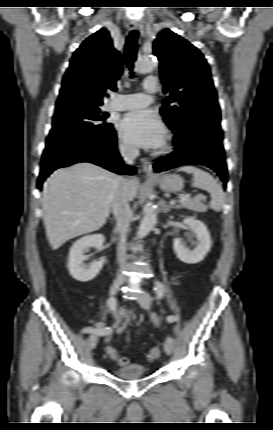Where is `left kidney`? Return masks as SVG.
Returning <instances> with one entry per match:
<instances>
[{
  "mask_svg": "<svg viewBox=\"0 0 273 430\" xmlns=\"http://www.w3.org/2000/svg\"><path fill=\"white\" fill-rule=\"evenodd\" d=\"M183 223L188 226L194 233L196 238L192 241V245L196 247L191 250L186 246V242L181 238H175L173 248L178 259L187 264H196L201 262L207 253L210 251L212 241L210 233L206 225L195 218L188 217L183 220Z\"/></svg>",
  "mask_w": 273,
  "mask_h": 430,
  "instance_id": "5707ae66",
  "label": "left kidney"
}]
</instances>
